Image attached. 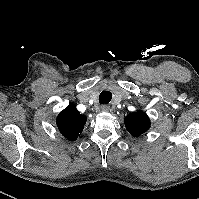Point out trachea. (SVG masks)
<instances>
[{"instance_id":"obj_1","label":"trachea","mask_w":199,"mask_h":199,"mask_svg":"<svg viewBox=\"0 0 199 199\" xmlns=\"http://www.w3.org/2000/svg\"><path fill=\"white\" fill-rule=\"evenodd\" d=\"M112 99V94L110 91L103 90L99 95V102L101 104H108Z\"/></svg>"}]
</instances>
